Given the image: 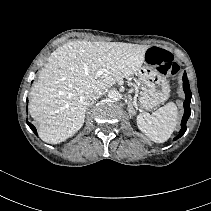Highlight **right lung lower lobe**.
Wrapping results in <instances>:
<instances>
[{"mask_svg": "<svg viewBox=\"0 0 211 211\" xmlns=\"http://www.w3.org/2000/svg\"><path fill=\"white\" fill-rule=\"evenodd\" d=\"M28 126L31 128V130L37 135L36 128L29 122H27Z\"/></svg>", "mask_w": 211, "mask_h": 211, "instance_id": "right-lung-lower-lobe-1", "label": "right lung lower lobe"}]
</instances>
